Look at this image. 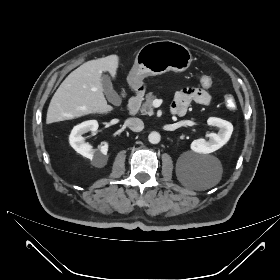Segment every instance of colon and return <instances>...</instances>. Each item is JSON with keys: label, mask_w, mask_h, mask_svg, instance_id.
<instances>
[{"label": "colon", "mask_w": 280, "mask_h": 280, "mask_svg": "<svg viewBox=\"0 0 280 280\" xmlns=\"http://www.w3.org/2000/svg\"><path fill=\"white\" fill-rule=\"evenodd\" d=\"M197 83L200 88L208 89L212 85V80L209 75L202 74L198 77ZM224 104L230 110H234L236 108L235 98L231 94H226L224 96Z\"/></svg>", "instance_id": "obj_1"}]
</instances>
